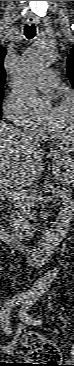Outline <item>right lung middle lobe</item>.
Listing matches in <instances>:
<instances>
[{
  "label": "right lung middle lobe",
  "instance_id": "1",
  "mask_svg": "<svg viewBox=\"0 0 74 366\" xmlns=\"http://www.w3.org/2000/svg\"><path fill=\"white\" fill-rule=\"evenodd\" d=\"M3 91L0 92V101H2Z\"/></svg>",
  "mask_w": 74,
  "mask_h": 366
}]
</instances>
